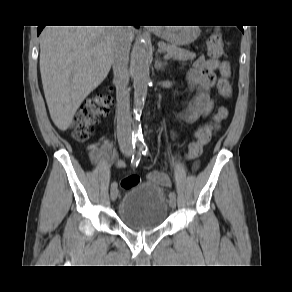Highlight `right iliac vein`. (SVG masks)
I'll return each mask as SVG.
<instances>
[{
    "mask_svg": "<svg viewBox=\"0 0 292 292\" xmlns=\"http://www.w3.org/2000/svg\"><path fill=\"white\" fill-rule=\"evenodd\" d=\"M118 197V190L117 189H112L111 190V199L112 201H115Z\"/></svg>",
    "mask_w": 292,
    "mask_h": 292,
    "instance_id": "1",
    "label": "right iliac vein"
}]
</instances>
